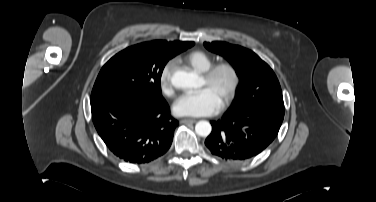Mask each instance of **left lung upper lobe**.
Returning <instances> with one entry per match:
<instances>
[{
  "label": "left lung upper lobe",
  "mask_w": 376,
  "mask_h": 202,
  "mask_svg": "<svg viewBox=\"0 0 376 202\" xmlns=\"http://www.w3.org/2000/svg\"><path fill=\"white\" fill-rule=\"evenodd\" d=\"M204 46L228 59L241 81L238 100L229 111L243 113L249 108H264L284 115L281 87L267 63L251 50L226 42H205Z\"/></svg>",
  "instance_id": "1"
}]
</instances>
